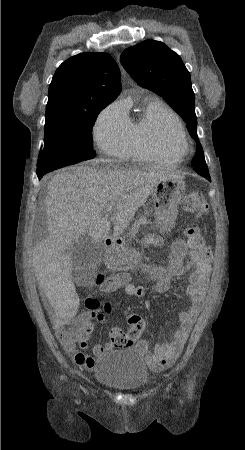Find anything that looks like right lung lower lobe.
<instances>
[{"label":"right lung lower lobe","mask_w":245,"mask_h":450,"mask_svg":"<svg viewBox=\"0 0 245 450\" xmlns=\"http://www.w3.org/2000/svg\"><path fill=\"white\" fill-rule=\"evenodd\" d=\"M44 174H46V172H37V176L39 179H41Z\"/></svg>","instance_id":"1"}]
</instances>
